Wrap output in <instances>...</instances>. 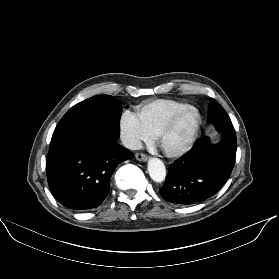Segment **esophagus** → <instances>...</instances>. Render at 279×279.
<instances>
[{"instance_id":"1","label":"esophagus","mask_w":279,"mask_h":279,"mask_svg":"<svg viewBox=\"0 0 279 279\" xmlns=\"http://www.w3.org/2000/svg\"><path fill=\"white\" fill-rule=\"evenodd\" d=\"M135 157H136V159H137L138 161H142V162H145V161H147V159H148V156L145 155V154H143V153H137V154L135 155Z\"/></svg>"}]
</instances>
